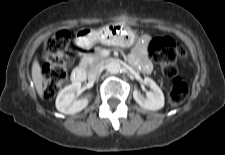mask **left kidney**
<instances>
[{"label":"left kidney","mask_w":225,"mask_h":155,"mask_svg":"<svg viewBox=\"0 0 225 155\" xmlns=\"http://www.w3.org/2000/svg\"><path fill=\"white\" fill-rule=\"evenodd\" d=\"M144 83L148 85L152 91L146 93L144 98L138 90H134V100L144 109L156 111L164 106V94L159 86L149 77L144 78Z\"/></svg>","instance_id":"obj_1"}]
</instances>
